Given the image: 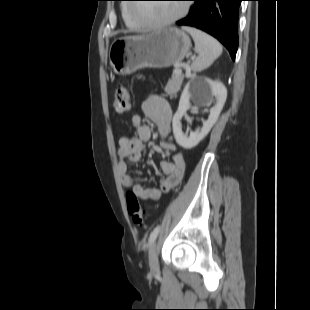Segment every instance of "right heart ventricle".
Wrapping results in <instances>:
<instances>
[{"mask_svg": "<svg viewBox=\"0 0 310 310\" xmlns=\"http://www.w3.org/2000/svg\"><path fill=\"white\" fill-rule=\"evenodd\" d=\"M129 6L130 5L128 4H123L121 8L122 18H123L125 25L129 27L130 29H134V30L142 28L143 26L140 23H138L137 21L133 20L130 17Z\"/></svg>", "mask_w": 310, "mask_h": 310, "instance_id": "right-heart-ventricle-1", "label": "right heart ventricle"}]
</instances>
